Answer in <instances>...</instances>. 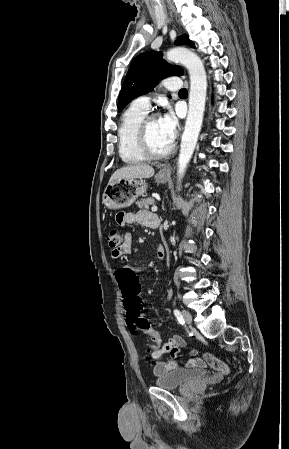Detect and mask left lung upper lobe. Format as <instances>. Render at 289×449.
Here are the masks:
<instances>
[{"instance_id": "1", "label": "left lung upper lobe", "mask_w": 289, "mask_h": 449, "mask_svg": "<svg viewBox=\"0 0 289 449\" xmlns=\"http://www.w3.org/2000/svg\"><path fill=\"white\" fill-rule=\"evenodd\" d=\"M182 43L195 47L186 36L176 41L178 45ZM182 74V68L167 64L160 52L150 51L136 56L131 62L119 94L118 112L134 98L153 90L157 81L163 77Z\"/></svg>"}]
</instances>
